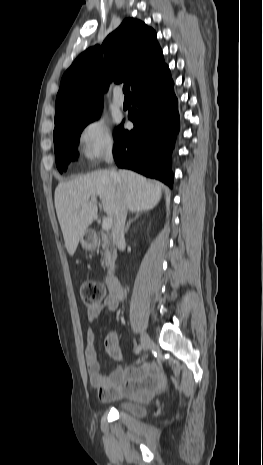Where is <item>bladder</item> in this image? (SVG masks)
I'll return each instance as SVG.
<instances>
[{
  "label": "bladder",
  "instance_id": "bladder-1",
  "mask_svg": "<svg viewBox=\"0 0 263 465\" xmlns=\"http://www.w3.org/2000/svg\"><path fill=\"white\" fill-rule=\"evenodd\" d=\"M111 408L120 414H125L134 418H143L147 414L145 406L133 400H121L113 403Z\"/></svg>",
  "mask_w": 263,
  "mask_h": 465
}]
</instances>
